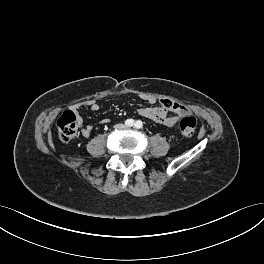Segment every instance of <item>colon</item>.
<instances>
[{
	"mask_svg": "<svg viewBox=\"0 0 264 264\" xmlns=\"http://www.w3.org/2000/svg\"><path fill=\"white\" fill-rule=\"evenodd\" d=\"M196 119L185 116L179 123V131L185 137H190L196 129ZM77 115L73 111H65L57 121L59 138L64 142L73 140L77 134Z\"/></svg>",
	"mask_w": 264,
	"mask_h": 264,
	"instance_id": "1",
	"label": "colon"
}]
</instances>
